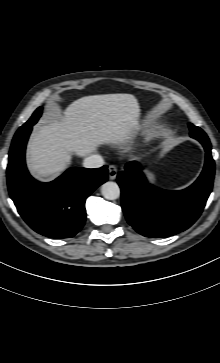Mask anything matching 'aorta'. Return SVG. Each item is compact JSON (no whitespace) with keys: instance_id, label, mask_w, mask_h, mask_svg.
<instances>
[{"instance_id":"1","label":"aorta","mask_w":220,"mask_h":363,"mask_svg":"<svg viewBox=\"0 0 220 363\" xmlns=\"http://www.w3.org/2000/svg\"><path fill=\"white\" fill-rule=\"evenodd\" d=\"M101 193L105 199L115 200L120 196V188L117 183L108 181L101 186Z\"/></svg>"}]
</instances>
